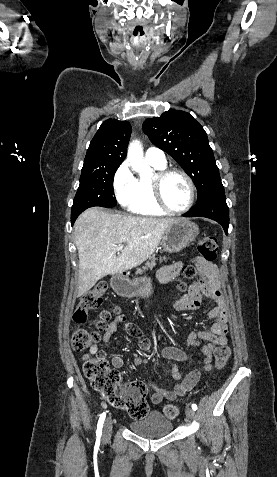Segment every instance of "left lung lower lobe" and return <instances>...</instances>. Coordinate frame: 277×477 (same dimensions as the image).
Returning a JSON list of instances; mask_svg holds the SVG:
<instances>
[{
    "label": "left lung lower lobe",
    "instance_id": "left-lung-lower-lobe-1",
    "mask_svg": "<svg viewBox=\"0 0 277 477\" xmlns=\"http://www.w3.org/2000/svg\"><path fill=\"white\" fill-rule=\"evenodd\" d=\"M183 216L210 218L221 224L225 233L228 234L229 209L222 183H217L212 187L204 199Z\"/></svg>",
    "mask_w": 277,
    "mask_h": 477
}]
</instances>
